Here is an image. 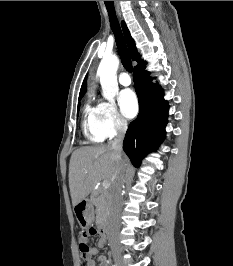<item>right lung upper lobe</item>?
Segmentation results:
<instances>
[{
	"mask_svg": "<svg viewBox=\"0 0 233 266\" xmlns=\"http://www.w3.org/2000/svg\"><path fill=\"white\" fill-rule=\"evenodd\" d=\"M122 29H123L125 40H126L128 48H129V51H130L132 59L135 60L136 62H138V65L142 64L143 61L141 60L140 56L137 53V50H136V47H135V42L132 39V37L130 35V32H129V30H128V28H127V26H126L124 21H122ZM85 92H86V78L83 81V84L81 86L79 97H83Z\"/></svg>",
	"mask_w": 233,
	"mask_h": 266,
	"instance_id": "obj_1",
	"label": "right lung upper lobe"
}]
</instances>
